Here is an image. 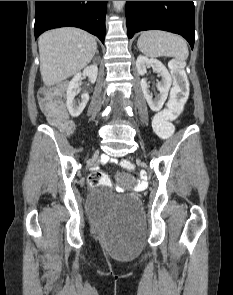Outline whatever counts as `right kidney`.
I'll return each mask as SVG.
<instances>
[{
  "label": "right kidney",
  "instance_id": "1",
  "mask_svg": "<svg viewBox=\"0 0 233 295\" xmlns=\"http://www.w3.org/2000/svg\"><path fill=\"white\" fill-rule=\"evenodd\" d=\"M82 75L88 76L90 82L95 83L97 79V75H98L97 64H92L90 66H87L83 70V73L79 72L75 74L72 80L68 83L67 91H66V105L72 117H78L84 110L89 100V94L84 93L81 96V101H79L78 103L75 101V96L80 91L79 81L81 80Z\"/></svg>",
  "mask_w": 233,
  "mask_h": 295
}]
</instances>
